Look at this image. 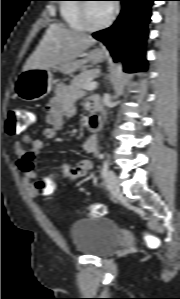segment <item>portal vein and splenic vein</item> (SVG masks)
Returning a JSON list of instances; mask_svg holds the SVG:
<instances>
[{"instance_id": "obj_1", "label": "portal vein and splenic vein", "mask_w": 180, "mask_h": 299, "mask_svg": "<svg viewBox=\"0 0 180 299\" xmlns=\"http://www.w3.org/2000/svg\"><path fill=\"white\" fill-rule=\"evenodd\" d=\"M97 86H98L97 82H91L85 86V89L86 90H94L97 88Z\"/></svg>"}]
</instances>
